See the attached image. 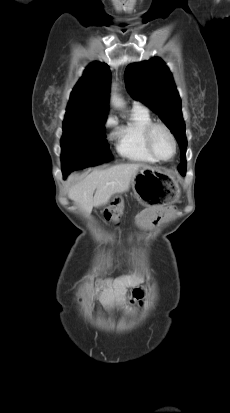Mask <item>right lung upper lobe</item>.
I'll return each instance as SVG.
<instances>
[{"label": "right lung upper lobe", "instance_id": "1", "mask_svg": "<svg viewBox=\"0 0 230 413\" xmlns=\"http://www.w3.org/2000/svg\"><path fill=\"white\" fill-rule=\"evenodd\" d=\"M110 80L111 73L107 64L91 63L71 93L63 124L106 117Z\"/></svg>", "mask_w": 230, "mask_h": 413}]
</instances>
